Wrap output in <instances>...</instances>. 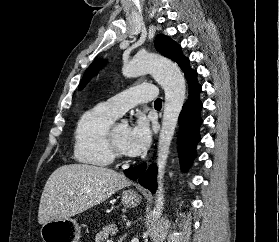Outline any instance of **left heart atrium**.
Returning <instances> with one entry per match:
<instances>
[{
	"label": "left heart atrium",
	"mask_w": 279,
	"mask_h": 242,
	"mask_svg": "<svg viewBox=\"0 0 279 242\" xmlns=\"http://www.w3.org/2000/svg\"><path fill=\"white\" fill-rule=\"evenodd\" d=\"M151 141L148 120L140 115L129 130L125 150L130 156H137L146 151Z\"/></svg>",
	"instance_id": "left-heart-atrium-1"
}]
</instances>
